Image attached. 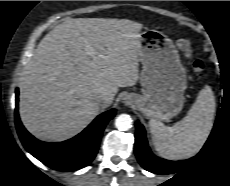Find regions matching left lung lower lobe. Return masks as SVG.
<instances>
[{
    "mask_svg": "<svg viewBox=\"0 0 230 186\" xmlns=\"http://www.w3.org/2000/svg\"><path fill=\"white\" fill-rule=\"evenodd\" d=\"M136 129L135 154L137 156L138 162L147 171L157 174L175 173L180 169L191 165L199 155L198 154L191 159L183 161H168L158 158L151 152L146 140L144 127L139 124V122L136 123Z\"/></svg>",
    "mask_w": 230,
    "mask_h": 186,
    "instance_id": "0a47b994",
    "label": "left lung lower lobe"
}]
</instances>
